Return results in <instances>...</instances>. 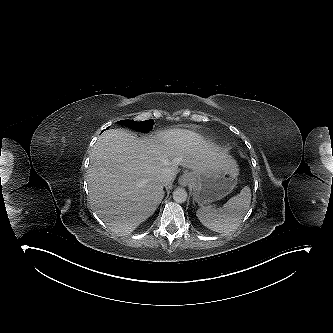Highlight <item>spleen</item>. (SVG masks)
<instances>
[{
	"label": "spleen",
	"mask_w": 333,
	"mask_h": 333,
	"mask_svg": "<svg viewBox=\"0 0 333 333\" xmlns=\"http://www.w3.org/2000/svg\"><path fill=\"white\" fill-rule=\"evenodd\" d=\"M251 203V191L245 186L239 194L230 198L222 208L205 206L196 215L207 228L218 233L234 231L241 223Z\"/></svg>",
	"instance_id": "obj_1"
}]
</instances>
